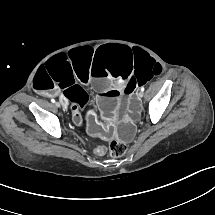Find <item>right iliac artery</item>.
Listing matches in <instances>:
<instances>
[{
    "label": "right iliac artery",
    "instance_id": "obj_1",
    "mask_svg": "<svg viewBox=\"0 0 215 215\" xmlns=\"http://www.w3.org/2000/svg\"><path fill=\"white\" fill-rule=\"evenodd\" d=\"M52 103H55V100L54 99H51Z\"/></svg>",
    "mask_w": 215,
    "mask_h": 215
}]
</instances>
